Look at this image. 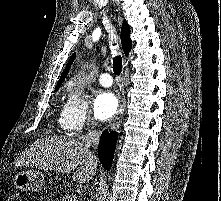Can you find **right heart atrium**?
Instances as JSON below:
<instances>
[{"mask_svg": "<svg viewBox=\"0 0 221 201\" xmlns=\"http://www.w3.org/2000/svg\"><path fill=\"white\" fill-rule=\"evenodd\" d=\"M65 110V124L68 131L77 133L93 126L87 97L78 87L70 88Z\"/></svg>", "mask_w": 221, "mask_h": 201, "instance_id": "obj_1", "label": "right heart atrium"}]
</instances>
